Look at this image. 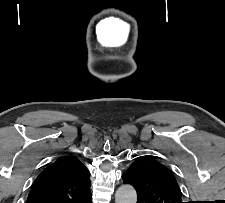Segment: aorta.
<instances>
[{"label": "aorta", "mask_w": 225, "mask_h": 203, "mask_svg": "<svg viewBox=\"0 0 225 203\" xmlns=\"http://www.w3.org/2000/svg\"><path fill=\"white\" fill-rule=\"evenodd\" d=\"M137 193L131 185L120 186L115 193V203H136Z\"/></svg>", "instance_id": "1"}]
</instances>
